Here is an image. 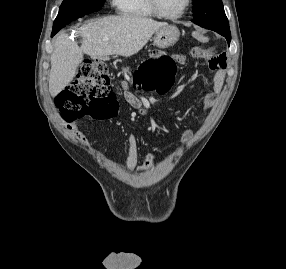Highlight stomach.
Masks as SVG:
<instances>
[{"label": "stomach", "mask_w": 286, "mask_h": 269, "mask_svg": "<svg viewBox=\"0 0 286 269\" xmlns=\"http://www.w3.org/2000/svg\"><path fill=\"white\" fill-rule=\"evenodd\" d=\"M179 36L180 32L178 28L167 24L155 32L153 43L158 48H168L178 41Z\"/></svg>", "instance_id": "1"}]
</instances>
